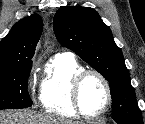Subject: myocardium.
Returning a JSON list of instances; mask_svg holds the SVG:
<instances>
[{"label":"myocardium","instance_id":"1","mask_svg":"<svg viewBox=\"0 0 145 124\" xmlns=\"http://www.w3.org/2000/svg\"><path fill=\"white\" fill-rule=\"evenodd\" d=\"M91 76L96 77L102 83L106 92V102L104 104V107L100 112L95 114L86 113L82 107V102H81V91H82L83 84L85 83L87 78ZM71 94H72V102L76 111L80 116L87 119H98L102 117L108 111L112 103V91L108 80L105 78V76L102 73L93 69H84L74 77L72 81Z\"/></svg>","mask_w":145,"mask_h":124}]
</instances>
